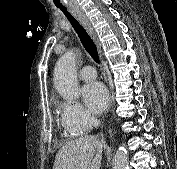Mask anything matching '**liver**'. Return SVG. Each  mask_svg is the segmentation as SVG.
I'll return each mask as SVG.
<instances>
[{
  "label": "liver",
  "instance_id": "liver-1",
  "mask_svg": "<svg viewBox=\"0 0 177 169\" xmlns=\"http://www.w3.org/2000/svg\"><path fill=\"white\" fill-rule=\"evenodd\" d=\"M106 143L84 136L66 143L56 154L53 169H100Z\"/></svg>",
  "mask_w": 177,
  "mask_h": 169
}]
</instances>
